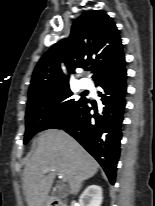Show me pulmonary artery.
Instances as JSON below:
<instances>
[{"label":"pulmonary artery","mask_w":155,"mask_h":206,"mask_svg":"<svg viewBox=\"0 0 155 206\" xmlns=\"http://www.w3.org/2000/svg\"><path fill=\"white\" fill-rule=\"evenodd\" d=\"M80 86L82 88H89L91 86V82L88 78H82L80 79Z\"/></svg>","instance_id":"pulmonary-artery-1"}]
</instances>
